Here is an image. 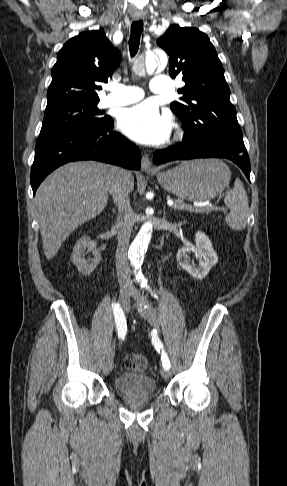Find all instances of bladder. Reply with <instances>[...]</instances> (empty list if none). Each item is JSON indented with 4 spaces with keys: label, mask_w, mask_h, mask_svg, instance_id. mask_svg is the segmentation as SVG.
Returning <instances> with one entry per match:
<instances>
[{
    "label": "bladder",
    "mask_w": 287,
    "mask_h": 486,
    "mask_svg": "<svg viewBox=\"0 0 287 486\" xmlns=\"http://www.w3.org/2000/svg\"><path fill=\"white\" fill-rule=\"evenodd\" d=\"M115 389L128 395H151L156 391V381L147 374L123 373L114 381Z\"/></svg>",
    "instance_id": "obj_1"
}]
</instances>
